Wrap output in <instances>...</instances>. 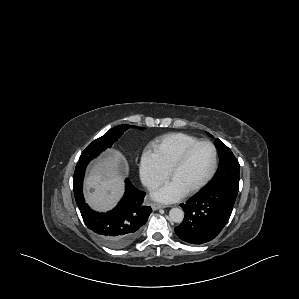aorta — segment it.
Returning <instances> with one entry per match:
<instances>
[{"label": "aorta", "instance_id": "aorta-1", "mask_svg": "<svg viewBox=\"0 0 299 299\" xmlns=\"http://www.w3.org/2000/svg\"><path fill=\"white\" fill-rule=\"evenodd\" d=\"M169 218L171 221H173L175 223H180L183 221L184 211L180 208H172L169 211Z\"/></svg>", "mask_w": 299, "mask_h": 299}]
</instances>
